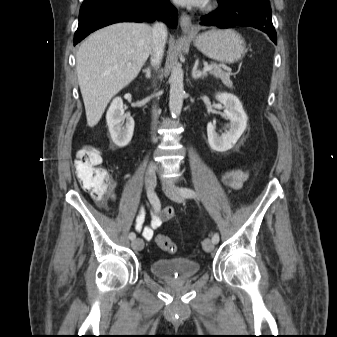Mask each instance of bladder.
<instances>
[{
    "label": "bladder",
    "mask_w": 337,
    "mask_h": 337,
    "mask_svg": "<svg viewBox=\"0 0 337 337\" xmlns=\"http://www.w3.org/2000/svg\"><path fill=\"white\" fill-rule=\"evenodd\" d=\"M200 264L184 257L156 259L150 265L151 272L160 278H191L200 271Z\"/></svg>",
    "instance_id": "bladder-1"
}]
</instances>
